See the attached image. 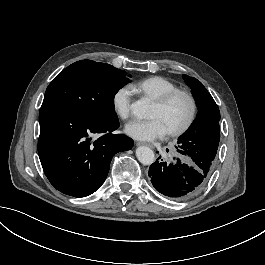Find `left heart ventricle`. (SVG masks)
Segmentation results:
<instances>
[{"mask_svg":"<svg viewBox=\"0 0 265 265\" xmlns=\"http://www.w3.org/2000/svg\"><path fill=\"white\" fill-rule=\"evenodd\" d=\"M189 115V104L184 98H177L165 109L160 110L154 104L151 108L149 118H157L164 125L166 131L181 127Z\"/></svg>","mask_w":265,"mask_h":265,"instance_id":"left-heart-ventricle-1","label":"left heart ventricle"}]
</instances>
